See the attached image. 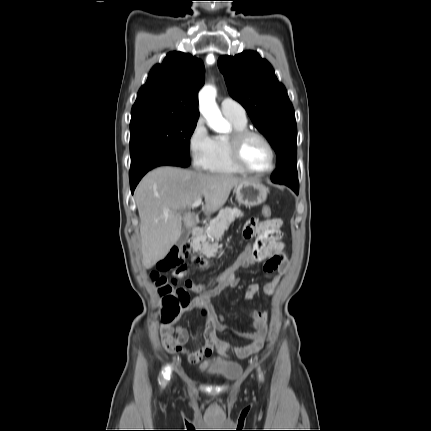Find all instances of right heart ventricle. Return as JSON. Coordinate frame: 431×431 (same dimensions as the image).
<instances>
[{"mask_svg": "<svg viewBox=\"0 0 431 431\" xmlns=\"http://www.w3.org/2000/svg\"><path fill=\"white\" fill-rule=\"evenodd\" d=\"M233 126V131L247 129V121L227 117ZM209 172L222 175L240 174V171L231 161L228 146V137L214 139V154L208 169Z\"/></svg>", "mask_w": 431, "mask_h": 431, "instance_id": "1", "label": "right heart ventricle"}]
</instances>
